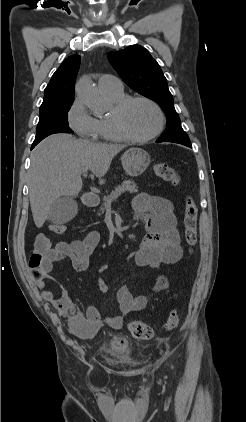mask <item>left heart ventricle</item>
Here are the masks:
<instances>
[{
  "label": "left heart ventricle",
  "instance_id": "left-heart-ventricle-1",
  "mask_svg": "<svg viewBox=\"0 0 246 422\" xmlns=\"http://www.w3.org/2000/svg\"><path fill=\"white\" fill-rule=\"evenodd\" d=\"M124 121L132 134L144 137L155 131L159 117L151 105L142 101H136L126 109Z\"/></svg>",
  "mask_w": 246,
  "mask_h": 422
}]
</instances>
